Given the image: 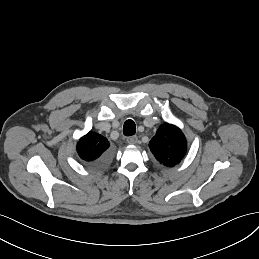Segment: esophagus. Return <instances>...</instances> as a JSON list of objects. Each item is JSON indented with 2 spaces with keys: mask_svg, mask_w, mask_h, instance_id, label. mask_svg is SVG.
<instances>
[{
  "mask_svg": "<svg viewBox=\"0 0 259 259\" xmlns=\"http://www.w3.org/2000/svg\"><path fill=\"white\" fill-rule=\"evenodd\" d=\"M127 143L130 145H134L137 143V136H131L127 138Z\"/></svg>",
  "mask_w": 259,
  "mask_h": 259,
  "instance_id": "esophagus-1",
  "label": "esophagus"
}]
</instances>
